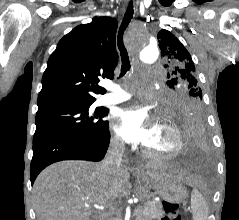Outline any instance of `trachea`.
Segmentation results:
<instances>
[{
    "mask_svg": "<svg viewBox=\"0 0 239 220\" xmlns=\"http://www.w3.org/2000/svg\"><path fill=\"white\" fill-rule=\"evenodd\" d=\"M133 14H134L133 3H132V1H130L129 5L126 9L123 22L120 26L119 33H118V49L120 51L121 60H122L120 77L125 75V73L127 71H129L131 68L129 56H128L127 50L124 46V43H123V34H124V31L126 30L127 26L129 25V23L133 17Z\"/></svg>",
    "mask_w": 239,
    "mask_h": 220,
    "instance_id": "1",
    "label": "trachea"
}]
</instances>
